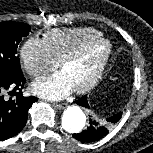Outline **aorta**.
I'll list each match as a JSON object with an SVG mask.
<instances>
[{
	"label": "aorta",
	"instance_id": "aorta-1",
	"mask_svg": "<svg viewBox=\"0 0 153 153\" xmlns=\"http://www.w3.org/2000/svg\"><path fill=\"white\" fill-rule=\"evenodd\" d=\"M62 127L69 133H79L85 127L86 115L78 106H69L62 115Z\"/></svg>",
	"mask_w": 153,
	"mask_h": 153
}]
</instances>
